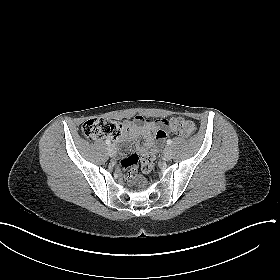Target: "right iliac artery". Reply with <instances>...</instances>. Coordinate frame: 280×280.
I'll return each instance as SVG.
<instances>
[{
    "mask_svg": "<svg viewBox=\"0 0 280 280\" xmlns=\"http://www.w3.org/2000/svg\"><path fill=\"white\" fill-rule=\"evenodd\" d=\"M105 142H106V144H108V145L111 144V142H110L109 139H107Z\"/></svg>",
    "mask_w": 280,
    "mask_h": 280,
    "instance_id": "1",
    "label": "right iliac artery"
}]
</instances>
